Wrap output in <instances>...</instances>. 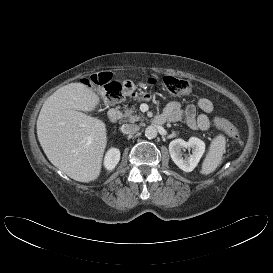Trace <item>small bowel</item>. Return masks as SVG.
Returning <instances> with one entry per match:
<instances>
[{"mask_svg":"<svg viewBox=\"0 0 273 273\" xmlns=\"http://www.w3.org/2000/svg\"><path fill=\"white\" fill-rule=\"evenodd\" d=\"M197 109L202 113L197 114ZM214 109L212 102L207 98H201L197 104L182 105L178 101H172L167 104L163 111V116L169 122H178L185 120L186 124L194 130H207L210 127V120L207 114Z\"/></svg>","mask_w":273,"mask_h":273,"instance_id":"obj_1","label":"small bowel"}]
</instances>
